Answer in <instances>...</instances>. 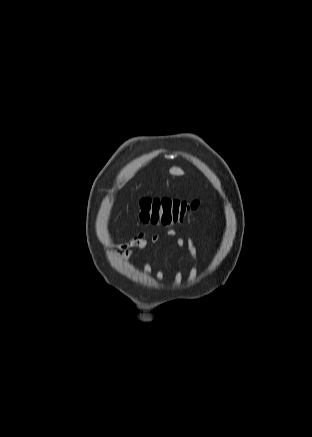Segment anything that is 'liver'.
I'll return each instance as SVG.
<instances>
[{"label": "liver", "mask_w": 312, "mask_h": 437, "mask_svg": "<svg viewBox=\"0 0 312 437\" xmlns=\"http://www.w3.org/2000/svg\"><path fill=\"white\" fill-rule=\"evenodd\" d=\"M170 173L173 175H183L184 174V172L180 168H177V167L171 168Z\"/></svg>", "instance_id": "liver-1"}]
</instances>
